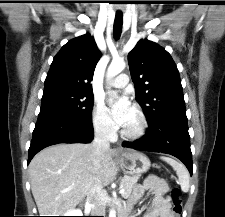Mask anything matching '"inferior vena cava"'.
I'll list each match as a JSON object with an SVG mask.
<instances>
[{"instance_id":"602c4592","label":"inferior vena cava","mask_w":225,"mask_h":217,"mask_svg":"<svg viewBox=\"0 0 225 217\" xmlns=\"http://www.w3.org/2000/svg\"><path fill=\"white\" fill-rule=\"evenodd\" d=\"M113 124L109 123L102 126L95 134L93 147H94V164L96 167L100 166L101 158L106 150L110 148L109 135L115 134ZM92 204V213L95 216L105 215V199L104 192L101 186H95L90 190L87 196Z\"/></svg>"}]
</instances>
